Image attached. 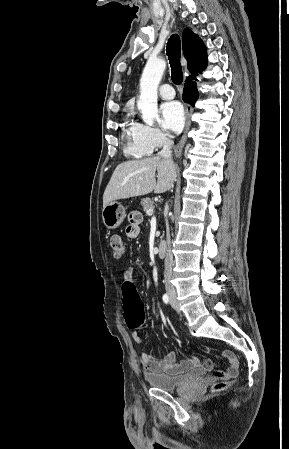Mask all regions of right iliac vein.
<instances>
[{
    "label": "right iliac vein",
    "mask_w": 289,
    "mask_h": 449,
    "mask_svg": "<svg viewBox=\"0 0 289 449\" xmlns=\"http://www.w3.org/2000/svg\"><path fill=\"white\" fill-rule=\"evenodd\" d=\"M171 301L176 305V307H178V304L176 302L175 296L174 295H170Z\"/></svg>",
    "instance_id": "1"
}]
</instances>
